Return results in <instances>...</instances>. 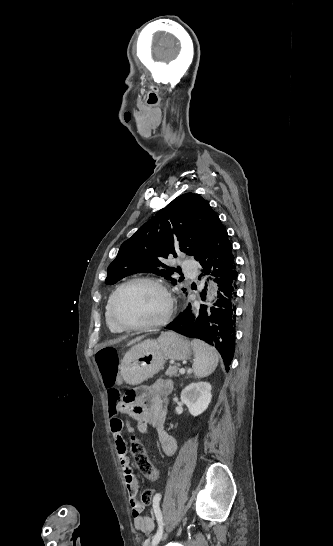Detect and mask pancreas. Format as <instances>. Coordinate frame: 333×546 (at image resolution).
<instances>
[{"instance_id": "pancreas-1", "label": "pancreas", "mask_w": 333, "mask_h": 546, "mask_svg": "<svg viewBox=\"0 0 333 546\" xmlns=\"http://www.w3.org/2000/svg\"><path fill=\"white\" fill-rule=\"evenodd\" d=\"M165 375L169 376V377L179 376V374H178V365L169 366V368L165 372Z\"/></svg>"}]
</instances>
